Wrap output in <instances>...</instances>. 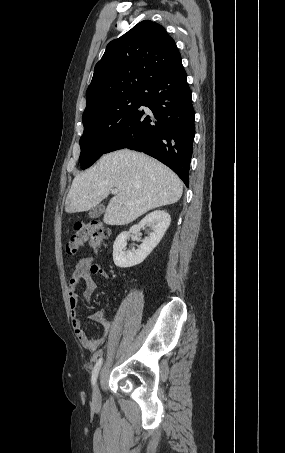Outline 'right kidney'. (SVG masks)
<instances>
[{
	"label": "right kidney",
	"instance_id": "right-kidney-1",
	"mask_svg": "<svg viewBox=\"0 0 285 453\" xmlns=\"http://www.w3.org/2000/svg\"><path fill=\"white\" fill-rule=\"evenodd\" d=\"M171 222L170 215L163 210H156L146 215L129 232L120 233L113 245V261L117 267L129 268L142 263L163 238ZM151 226L152 232L142 244L131 252H125L127 240L131 234L138 233L145 226Z\"/></svg>",
	"mask_w": 285,
	"mask_h": 453
}]
</instances>
